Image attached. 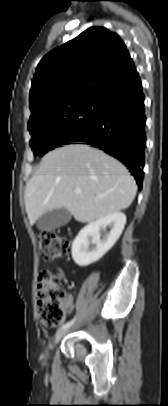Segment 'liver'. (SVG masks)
<instances>
[{
    "mask_svg": "<svg viewBox=\"0 0 168 406\" xmlns=\"http://www.w3.org/2000/svg\"><path fill=\"white\" fill-rule=\"evenodd\" d=\"M80 188L81 194L74 190ZM136 183L124 165L99 149L72 144L47 153L25 188L30 224L45 212L65 208L82 223L128 208Z\"/></svg>",
    "mask_w": 168,
    "mask_h": 406,
    "instance_id": "6515ba94",
    "label": "liver"
}]
</instances>
